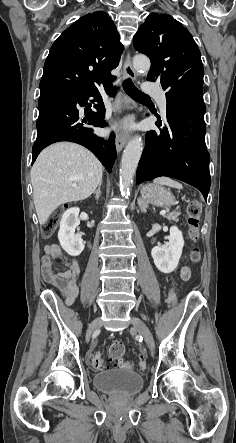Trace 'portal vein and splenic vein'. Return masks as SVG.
<instances>
[{
	"instance_id": "1",
	"label": "portal vein and splenic vein",
	"mask_w": 236,
	"mask_h": 443,
	"mask_svg": "<svg viewBox=\"0 0 236 443\" xmlns=\"http://www.w3.org/2000/svg\"><path fill=\"white\" fill-rule=\"evenodd\" d=\"M165 213H166L165 210H163V211L160 212L161 215H164Z\"/></svg>"
}]
</instances>
